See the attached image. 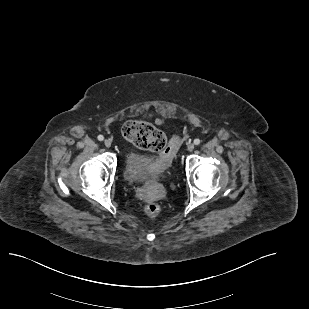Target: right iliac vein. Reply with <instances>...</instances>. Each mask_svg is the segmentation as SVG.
<instances>
[{"label":"right iliac vein","instance_id":"1","mask_svg":"<svg viewBox=\"0 0 309 309\" xmlns=\"http://www.w3.org/2000/svg\"><path fill=\"white\" fill-rule=\"evenodd\" d=\"M104 145L109 148L111 146V141L108 140V139H105L104 140Z\"/></svg>","mask_w":309,"mask_h":309}]
</instances>
